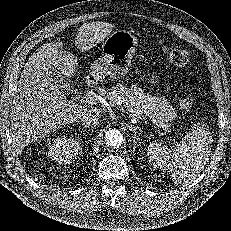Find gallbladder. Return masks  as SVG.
<instances>
[{"label": "gallbladder", "mask_w": 231, "mask_h": 231, "mask_svg": "<svg viewBox=\"0 0 231 231\" xmlns=\"http://www.w3.org/2000/svg\"><path fill=\"white\" fill-rule=\"evenodd\" d=\"M52 76L54 77L57 85L67 92L72 91L70 83L67 81V79L60 74L57 70H52Z\"/></svg>", "instance_id": "1"}]
</instances>
